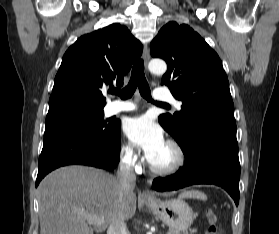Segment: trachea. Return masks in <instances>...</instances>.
Wrapping results in <instances>:
<instances>
[{
  "label": "trachea",
  "mask_w": 279,
  "mask_h": 234,
  "mask_svg": "<svg viewBox=\"0 0 279 234\" xmlns=\"http://www.w3.org/2000/svg\"><path fill=\"white\" fill-rule=\"evenodd\" d=\"M139 88V92L143 98L147 101L154 102L151 97V91L146 81L144 74V62L142 59L138 60L132 68L131 77L128 85L123 90L113 89L110 91L112 94L119 95L123 100L129 99L134 94L136 88ZM157 105L168 106L164 103L155 102Z\"/></svg>",
  "instance_id": "3493384b"
}]
</instances>
